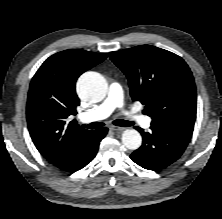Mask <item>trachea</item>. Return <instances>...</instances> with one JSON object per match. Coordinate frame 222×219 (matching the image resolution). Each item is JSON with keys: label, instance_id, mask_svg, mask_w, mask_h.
Masks as SVG:
<instances>
[{"label": "trachea", "instance_id": "3493384b", "mask_svg": "<svg viewBox=\"0 0 222 219\" xmlns=\"http://www.w3.org/2000/svg\"><path fill=\"white\" fill-rule=\"evenodd\" d=\"M113 124L116 125V126H122V127H130V126L134 125L133 122L126 121V120H119V119L113 121ZM83 126L86 127V128H89V129H96V128L103 127L104 123H102V122H92L88 125H83Z\"/></svg>", "mask_w": 222, "mask_h": 219}]
</instances>
